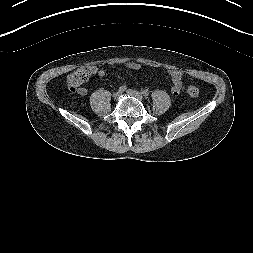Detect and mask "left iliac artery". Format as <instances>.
<instances>
[{"instance_id": "44dca946", "label": "left iliac artery", "mask_w": 253, "mask_h": 253, "mask_svg": "<svg viewBox=\"0 0 253 253\" xmlns=\"http://www.w3.org/2000/svg\"><path fill=\"white\" fill-rule=\"evenodd\" d=\"M141 93H142L144 96H148V95H149V91L146 90V89H143V90L141 91Z\"/></svg>"}]
</instances>
